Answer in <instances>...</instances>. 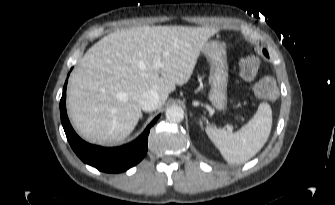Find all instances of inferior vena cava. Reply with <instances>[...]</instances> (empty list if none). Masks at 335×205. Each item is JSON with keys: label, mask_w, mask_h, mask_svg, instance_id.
I'll return each mask as SVG.
<instances>
[{"label": "inferior vena cava", "mask_w": 335, "mask_h": 205, "mask_svg": "<svg viewBox=\"0 0 335 205\" xmlns=\"http://www.w3.org/2000/svg\"><path fill=\"white\" fill-rule=\"evenodd\" d=\"M139 104L144 111L156 110L159 106V95L154 90L144 92L140 99Z\"/></svg>", "instance_id": "602c4592"}]
</instances>
